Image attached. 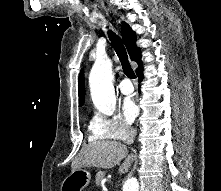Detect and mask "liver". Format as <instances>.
Returning <instances> with one entry per match:
<instances>
[{
	"label": "liver",
	"mask_w": 221,
	"mask_h": 191,
	"mask_svg": "<svg viewBox=\"0 0 221 191\" xmlns=\"http://www.w3.org/2000/svg\"><path fill=\"white\" fill-rule=\"evenodd\" d=\"M124 162L119 168V173L128 172L134 160L133 155H128L127 147L116 141H97L83 147L71 164L72 171L84 167H97L109 169Z\"/></svg>",
	"instance_id": "obj_1"
}]
</instances>
